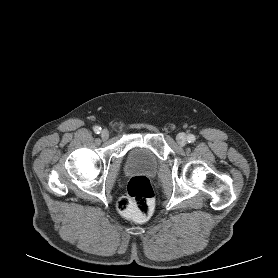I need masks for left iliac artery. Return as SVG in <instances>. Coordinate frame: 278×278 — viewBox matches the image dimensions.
<instances>
[{"instance_id": "obj_1", "label": "left iliac artery", "mask_w": 278, "mask_h": 278, "mask_svg": "<svg viewBox=\"0 0 278 278\" xmlns=\"http://www.w3.org/2000/svg\"><path fill=\"white\" fill-rule=\"evenodd\" d=\"M187 140H188L189 143H193L196 140V138L193 134H189L187 136Z\"/></svg>"}]
</instances>
